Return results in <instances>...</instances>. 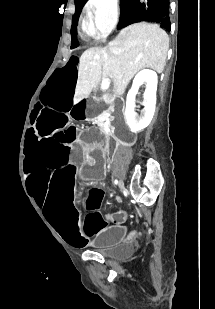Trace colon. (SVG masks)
Segmentation results:
<instances>
[{
    "label": "colon",
    "mask_w": 215,
    "mask_h": 309,
    "mask_svg": "<svg viewBox=\"0 0 215 309\" xmlns=\"http://www.w3.org/2000/svg\"><path fill=\"white\" fill-rule=\"evenodd\" d=\"M98 220H99V215L98 214L93 215L92 222H96Z\"/></svg>",
    "instance_id": "5ec220e1"
}]
</instances>
